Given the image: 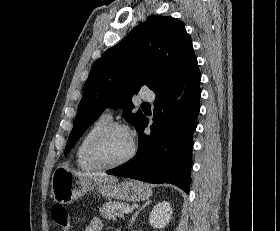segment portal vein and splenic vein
Segmentation results:
<instances>
[{
    "instance_id": "obj_1",
    "label": "portal vein and splenic vein",
    "mask_w": 280,
    "mask_h": 231,
    "mask_svg": "<svg viewBox=\"0 0 280 231\" xmlns=\"http://www.w3.org/2000/svg\"><path fill=\"white\" fill-rule=\"evenodd\" d=\"M120 211H122V213H129V211H133V207H123Z\"/></svg>"
}]
</instances>
